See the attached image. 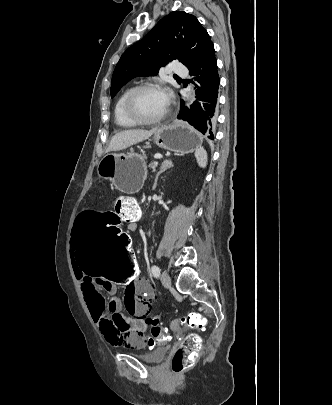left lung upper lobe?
Masks as SVG:
<instances>
[{"instance_id":"5c2ea615","label":"left lung upper lobe","mask_w":332,"mask_h":405,"mask_svg":"<svg viewBox=\"0 0 332 405\" xmlns=\"http://www.w3.org/2000/svg\"><path fill=\"white\" fill-rule=\"evenodd\" d=\"M211 44L210 36L195 16L184 11L166 15L122 54L112 76L111 97L132 78L155 76L174 59L190 68Z\"/></svg>"}]
</instances>
